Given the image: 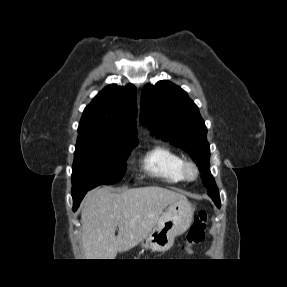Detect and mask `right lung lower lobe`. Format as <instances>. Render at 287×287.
Here are the masks:
<instances>
[{
    "instance_id": "1",
    "label": "right lung lower lobe",
    "mask_w": 287,
    "mask_h": 287,
    "mask_svg": "<svg viewBox=\"0 0 287 287\" xmlns=\"http://www.w3.org/2000/svg\"><path fill=\"white\" fill-rule=\"evenodd\" d=\"M91 190V189H90ZM89 191V190H87ZM87 191L78 194L76 196H73V210L76 211L77 208L79 207L80 202L82 201L83 197L85 196V194L87 193Z\"/></svg>"
}]
</instances>
